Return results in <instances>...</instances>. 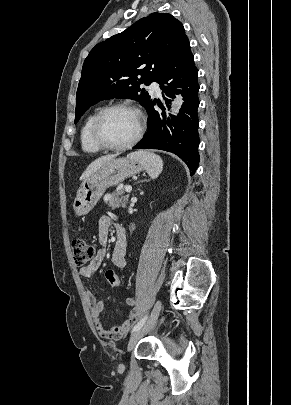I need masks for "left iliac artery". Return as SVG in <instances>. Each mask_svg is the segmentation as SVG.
Returning <instances> with one entry per match:
<instances>
[{"instance_id":"left-iliac-artery-1","label":"left iliac artery","mask_w":291,"mask_h":405,"mask_svg":"<svg viewBox=\"0 0 291 405\" xmlns=\"http://www.w3.org/2000/svg\"><path fill=\"white\" fill-rule=\"evenodd\" d=\"M147 315H145L133 328L132 332H135L137 330H139L146 322L147 320Z\"/></svg>"}]
</instances>
